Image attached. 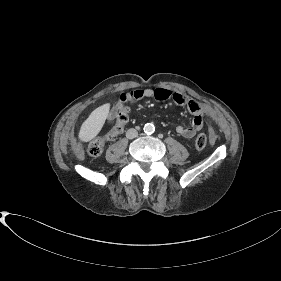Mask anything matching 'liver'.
<instances>
[{"mask_svg": "<svg viewBox=\"0 0 281 281\" xmlns=\"http://www.w3.org/2000/svg\"><path fill=\"white\" fill-rule=\"evenodd\" d=\"M110 111V104L106 103L91 112L81 125L78 138L82 142H89L101 131Z\"/></svg>", "mask_w": 281, "mask_h": 281, "instance_id": "6515ba94", "label": "liver"}]
</instances>
